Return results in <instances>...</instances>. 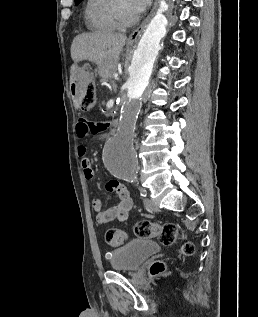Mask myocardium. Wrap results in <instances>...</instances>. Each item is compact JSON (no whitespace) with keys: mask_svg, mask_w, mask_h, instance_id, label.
<instances>
[{"mask_svg":"<svg viewBox=\"0 0 258 317\" xmlns=\"http://www.w3.org/2000/svg\"><path fill=\"white\" fill-rule=\"evenodd\" d=\"M127 10L132 11L129 17L125 16ZM113 20L116 27L121 29L136 24L139 20V13L129 1L119 0L113 10Z\"/></svg>","mask_w":258,"mask_h":317,"instance_id":"f54148a6","label":"myocardium"}]
</instances>
